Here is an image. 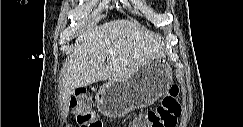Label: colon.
Masks as SVG:
<instances>
[{"mask_svg":"<svg viewBox=\"0 0 243 127\" xmlns=\"http://www.w3.org/2000/svg\"><path fill=\"white\" fill-rule=\"evenodd\" d=\"M180 88L173 85L169 94L165 96L161 104L153 109L137 116L130 127H174L182 112V106L178 101ZM71 108L76 121L81 127H102L103 123L95 115L91 106V98L87 93L75 95L71 99Z\"/></svg>","mask_w":243,"mask_h":127,"instance_id":"obj_1","label":"colon"}]
</instances>
